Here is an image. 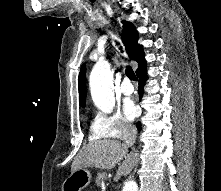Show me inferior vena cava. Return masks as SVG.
<instances>
[{
    "instance_id": "1",
    "label": "inferior vena cava",
    "mask_w": 221,
    "mask_h": 191,
    "mask_svg": "<svg viewBox=\"0 0 221 191\" xmlns=\"http://www.w3.org/2000/svg\"><path fill=\"white\" fill-rule=\"evenodd\" d=\"M137 130L135 127H128L125 133V144L127 147H132L136 141ZM134 154V153H133ZM136 155V154H134Z\"/></svg>"
}]
</instances>
